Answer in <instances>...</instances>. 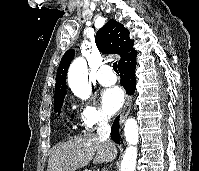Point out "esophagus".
<instances>
[{"instance_id": "34e87169", "label": "esophagus", "mask_w": 199, "mask_h": 171, "mask_svg": "<svg viewBox=\"0 0 199 171\" xmlns=\"http://www.w3.org/2000/svg\"><path fill=\"white\" fill-rule=\"evenodd\" d=\"M131 105H132V97L128 96L126 99L125 105L123 107L122 114H121V118H120L121 124L125 121L126 117L128 116L131 109Z\"/></svg>"}]
</instances>
